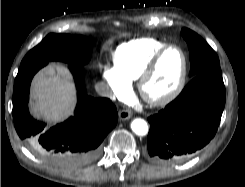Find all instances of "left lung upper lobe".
I'll list each match as a JSON object with an SVG mask.
<instances>
[{
  "mask_svg": "<svg viewBox=\"0 0 245 187\" xmlns=\"http://www.w3.org/2000/svg\"><path fill=\"white\" fill-rule=\"evenodd\" d=\"M181 33L190 51V76L194 77L206 70L219 66L217 54L206 41L187 28H183Z\"/></svg>",
  "mask_w": 245,
  "mask_h": 187,
  "instance_id": "1",
  "label": "left lung upper lobe"
}]
</instances>
